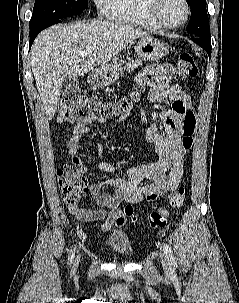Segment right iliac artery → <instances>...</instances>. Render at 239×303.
Masks as SVG:
<instances>
[{
	"instance_id": "82829eb1",
	"label": "right iliac artery",
	"mask_w": 239,
	"mask_h": 303,
	"mask_svg": "<svg viewBox=\"0 0 239 303\" xmlns=\"http://www.w3.org/2000/svg\"><path fill=\"white\" fill-rule=\"evenodd\" d=\"M74 251H75V249L72 250V253H71V255H70L69 258H68V260H69L70 262H72V260H73V258H74V256H75Z\"/></svg>"
}]
</instances>
